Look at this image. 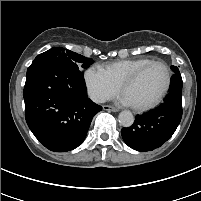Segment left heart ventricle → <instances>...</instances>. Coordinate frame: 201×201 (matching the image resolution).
Returning <instances> with one entry per match:
<instances>
[{"instance_id": "obj_1", "label": "left heart ventricle", "mask_w": 201, "mask_h": 201, "mask_svg": "<svg viewBox=\"0 0 201 201\" xmlns=\"http://www.w3.org/2000/svg\"><path fill=\"white\" fill-rule=\"evenodd\" d=\"M166 82V72L162 65L148 67L124 90V95L132 105H142L153 101L162 91Z\"/></svg>"}]
</instances>
